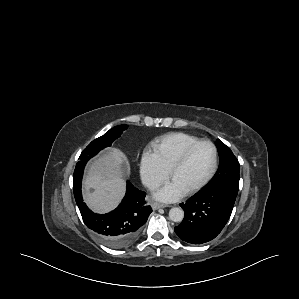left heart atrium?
<instances>
[{
	"mask_svg": "<svg viewBox=\"0 0 299 299\" xmlns=\"http://www.w3.org/2000/svg\"><path fill=\"white\" fill-rule=\"evenodd\" d=\"M183 194L184 190L172 182L157 190L155 192V197L165 202H172L179 199L181 196H183Z\"/></svg>",
	"mask_w": 299,
	"mask_h": 299,
	"instance_id": "obj_1",
	"label": "left heart atrium"
}]
</instances>
